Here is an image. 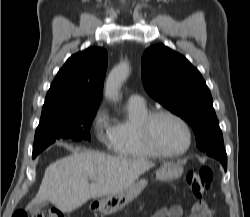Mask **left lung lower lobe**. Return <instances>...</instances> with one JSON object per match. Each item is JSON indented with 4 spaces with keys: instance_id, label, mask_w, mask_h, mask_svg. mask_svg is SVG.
<instances>
[{
    "instance_id": "obj_1",
    "label": "left lung lower lobe",
    "mask_w": 250,
    "mask_h": 217,
    "mask_svg": "<svg viewBox=\"0 0 250 217\" xmlns=\"http://www.w3.org/2000/svg\"><path fill=\"white\" fill-rule=\"evenodd\" d=\"M206 153L208 156H211V157L219 160L221 162V164L223 165L224 170L225 171L227 170V154H226V151L223 147L216 149V150L208 151Z\"/></svg>"
}]
</instances>
